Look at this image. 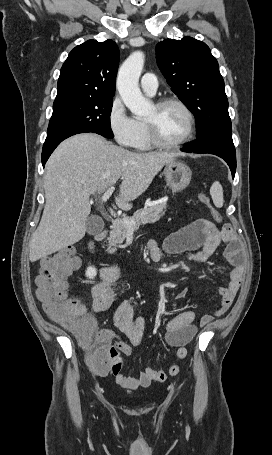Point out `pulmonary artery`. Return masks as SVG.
<instances>
[{
	"label": "pulmonary artery",
	"instance_id": "obj_1",
	"mask_svg": "<svg viewBox=\"0 0 272 455\" xmlns=\"http://www.w3.org/2000/svg\"><path fill=\"white\" fill-rule=\"evenodd\" d=\"M142 90L148 95H154L158 88L157 77L153 73H145L140 81Z\"/></svg>",
	"mask_w": 272,
	"mask_h": 455
}]
</instances>
